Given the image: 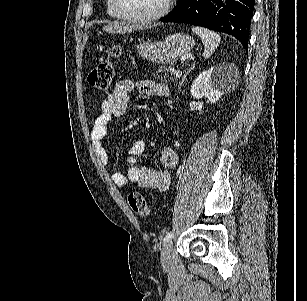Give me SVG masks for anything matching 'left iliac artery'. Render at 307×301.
Returning <instances> with one entry per match:
<instances>
[{
	"instance_id": "obj_1",
	"label": "left iliac artery",
	"mask_w": 307,
	"mask_h": 301,
	"mask_svg": "<svg viewBox=\"0 0 307 301\" xmlns=\"http://www.w3.org/2000/svg\"><path fill=\"white\" fill-rule=\"evenodd\" d=\"M172 238V232H168L164 238V243H166L167 241H169Z\"/></svg>"
}]
</instances>
